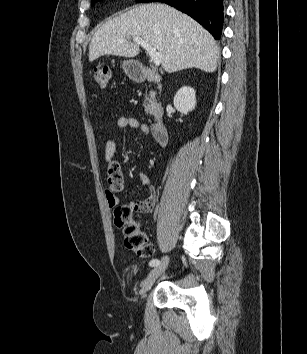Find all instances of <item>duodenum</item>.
Wrapping results in <instances>:
<instances>
[{
	"instance_id": "duodenum-1",
	"label": "duodenum",
	"mask_w": 307,
	"mask_h": 354,
	"mask_svg": "<svg viewBox=\"0 0 307 354\" xmlns=\"http://www.w3.org/2000/svg\"><path fill=\"white\" fill-rule=\"evenodd\" d=\"M136 81H152L159 82L160 76L152 69L145 68L141 72L133 74ZM154 122L151 124V132L159 145H166L168 142V130L163 121V110L160 106L155 107L153 111Z\"/></svg>"
}]
</instances>
